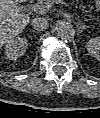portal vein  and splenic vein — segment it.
Instances as JSON below:
<instances>
[{
	"label": "portal vein and splenic vein",
	"mask_w": 100,
	"mask_h": 118,
	"mask_svg": "<svg viewBox=\"0 0 100 118\" xmlns=\"http://www.w3.org/2000/svg\"><path fill=\"white\" fill-rule=\"evenodd\" d=\"M56 3L68 5L63 0H57ZM53 4L54 3H52V2H46L44 5L34 4V5H32V10L36 13H39V14H45L52 8Z\"/></svg>",
	"instance_id": "18ae733b"
}]
</instances>
